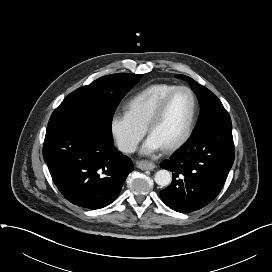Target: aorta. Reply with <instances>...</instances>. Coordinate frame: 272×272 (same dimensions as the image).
I'll return each mask as SVG.
<instances>
[{"label":"aorta","mask_w":272,"mask_h":272,"mask_svg":"<svg viewBox=\"0 0 272 272\" xmlns=\"http://www.w3.org/2000/svg\"><path fill=\"white\" fill-rule=\"evenodd\" d=\"M154 180L159 186H167L172 181V175L168 170L162 169L156 172Z\"/></svg>","instance_id":"1"}]
</instances>
